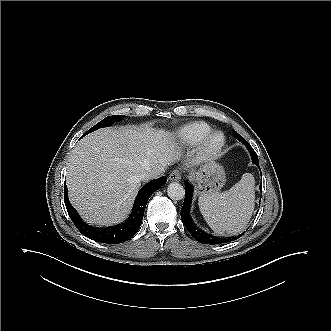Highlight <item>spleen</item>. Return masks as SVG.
<instances>
[{
	"mask_svg": "<svg viewBox=\"0 0 331 331\" xmlns=\"http://www.w3.org/2000/svg\"><path fill=\"white\" fill-rule=\"evenodd\" d=\"M254 184L253 175L245 173L228 191L199 196V209L215 233L236 235L246 229L254 209Z\"/></svg>",
	"mask_w": 331,
	"mask_h": 331,
	"instance_id": "1",
	"label": "spleen"
}]
</instances>
